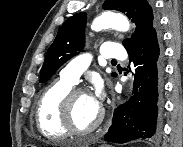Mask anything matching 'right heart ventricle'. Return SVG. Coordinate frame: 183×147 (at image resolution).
<instances>
[{
	"instance_id": "e07e8e85",
	"label": "right heart ventricle",
	"mask_w": 183,
	"mask_h": 147,
	"mask_svg": "<svg viewBox=\"0 0 183 147\" xmlns=\"http://www.w3.org/2000/svg\"><path fill=\"white\" fill-rule=\"evenodd\" d=\"M73 85L61 78L52 82L42 92L37 103L35 117L39 131L46 138L56 140L66 138L70 134L62 125L60 104Z\"/></svg>"
}]
</instances>
